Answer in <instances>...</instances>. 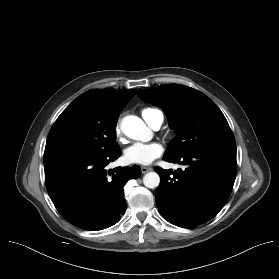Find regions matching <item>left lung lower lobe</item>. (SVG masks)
<instances>
[{
    "instance_id": "1",
    "label": "left lung lower lobe",
    "mask_w": 279,
    "mask_h": 279,
    "mask_svg": "<svg viewBox=\"0 0 279 279\" xmlns=\"http://www.w3.org/2000/svg\"><path fill=\"white\" fill-rule=\"evenodd\" d=\"M167 162L185 165L178 172L159 167L161 182L156 204L168 222L183 228L201 225L225 205L235 181L236 146H211L177 157L164 156Z\"/></svg>"
}]
</instances>
